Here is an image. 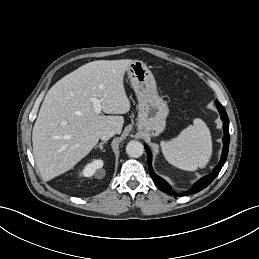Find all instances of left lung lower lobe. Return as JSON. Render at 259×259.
I'll list each match as a JSON object with an SVG mask.
<instances>
[{"mask_svg": "<svg viewBox=\"0 0 259 259\" xmlns=\"http://www.w3.org/2000/svg\"><path fill=\"white\" fill-rule=\"evenodd\" d=\"M217 105V108L219 110L221 119L223 121V130H224V137H223V151H222V156H221V160L218 164V166H216L213 170V172L203 178H201L198 182H196L193 187L182 193L181 195H190V194H194L197 193L199 191H201L202 189L206 188L219 174L221 168L223 167L226 159H227V155H228V148H229V119L227 116V113L224 109V107L218 102H215ZM145 149L147 152V161H148V166H149V172L151 175V178L153 179L154 183L160 188L161 191L166 192L168 194H175L169 184L163 180L162 178L158 177L154 172L153 169L151 167V152L149 150V148L145 145Z\"/></svg>", "mask_w": 259, "mask_h": 259, "instance_id": "left-lung-lower-lobe-1", "label": "left lung lower lobe"}]
</instances>
